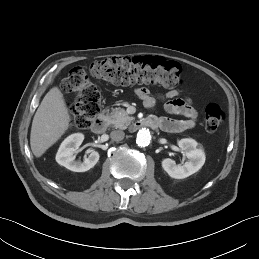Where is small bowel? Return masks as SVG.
Segmentation results:
<instances>
[{
	"mask_svg": "<svg viewBox=\"0 0 259 259\" xmlns=\"http://www.w3.org/2000/svg\"><path fill=\"white\" fill-rule=\"evenodd\" d=\"M136 96L143 102L146 108L153 110L156 106V98L151 92L144 87L135 90ZM180 91L177 89L170 90L161 98H166L167 102L164 109L169 114L181 115L184 119H172L167 117H150L155 118L160 123V128L165 131H182L193 128L198 118L197 111L192 107L189 98L182 99L179 97Z\"/></svg>",
	"mask_w": 259,
	"mask_h": 259,
	"instance_id": "small-bowel-1",
	"label": "small bowel"
}]
</instances>
